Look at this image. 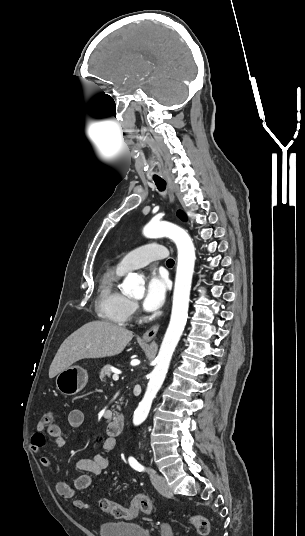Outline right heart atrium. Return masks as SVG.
<instances>
[{"instance_id": "1", "label": "right heart atrium", "mask_w": 305, "mask_h": 536, "mask_svg": "<svg viewBox=\"0 0 305 536\" xmlns=\"http://www.w3.org/2000/svg\"><path fill=\"white\" fill-rule=\"evenodd\" d=\"M135 310H136V304H135V303H131V304H130V311H131V313H133Z\"/></svg>"}]
</instances>
